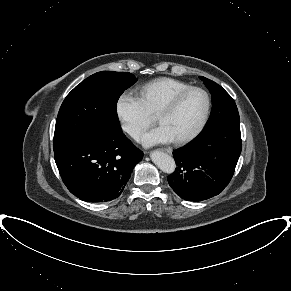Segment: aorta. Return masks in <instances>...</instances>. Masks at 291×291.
Masks as SVG:
<instances>
[{"label":"aorta","instance_id":"762f6f07","mask_svg":"<svg viewBox=\"0 0 291 291\" xmlns=\"http://www.w3.org/2000/svg\"><path fill=\"white\" fill-rule=\"evenodd\" d=\"M151 159L165 173L171 174L176 169L174 159L167 153L155 150L151 153Z\"/></svg>","mask_w":291,"mask_h":291}]
</instances>
